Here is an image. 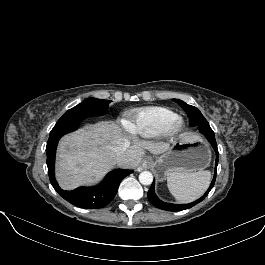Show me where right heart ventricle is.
<instances>
[{"label": "right heart ventricle", "instance_id": "e07e8e85", "mask_svg": "<svg viewBox=\"0 0 265 265\" xmlns=\"http://www.w3.org/2000/svg\"><path fill=\"white\" fill-rule=\"evenodd\" d=\"M176 116L178 115L167 107H143L127 112L126 126L133 135L153 138L163 134L167 124Z\"/></svg>", "mask_w": 265, "mask_h": 265}]
</instances>
